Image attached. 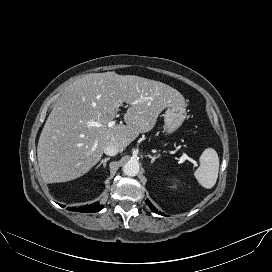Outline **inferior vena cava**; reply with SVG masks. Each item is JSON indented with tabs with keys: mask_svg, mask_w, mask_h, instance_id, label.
<instances>
[{
	"mask_svg": "<svg viewBox=\"0 0 272 272\" xmlns=\"http://www.w3.org/2000/svg\"><path fill=\"white\" fill-rule=\"evenodd\" d=\"M119 149L116 145L114 144H109L104 148V153L108 156H115L118 154Z\"/></svg>",
	"mask_w": 272,
	"mask_h": 272,
	"instance_id": "602c4592",
	"label": "inferior vena cava"
}]
</instances>
